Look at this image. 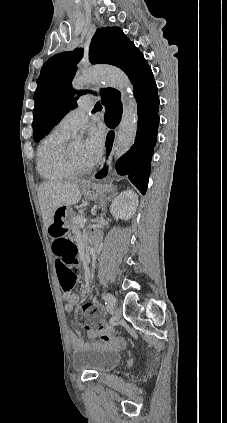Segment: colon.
Instances as JSON below:
<instances>
[{"label":"colon","instance_id":"5ec220e1","mask_svg":"<svg viewBox=\"0 0 227 423\" xmlns=\"http://www.w3.org/2000/svg\"><path fill=\"white\" fill-rule=\"evenodd\" d=\"M50 234L53 239L52 248L56 256V270L61 288L64 293L71 294L79 274L75 244L67 237L62 223H55ZM77 320L87 330L103 328L101 310L91 303H86L80 308Z\"/></svg>","mask_w":227,"mask_h":423}]
</instances>
